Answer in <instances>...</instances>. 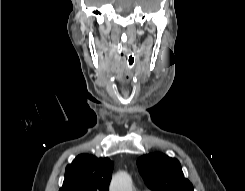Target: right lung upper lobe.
I'll use <instances>...</instances> for the list:
<instances>
[{"label": "right lung upper lobe", "mask_w": 245, "mask_h": 191, "mask_svg": "<svg viewBox=\"0 0 245 191\" xmlns=\"http://www.w3.org/2000/svg\"><path fill=\"white\" fill-rule=\"evenodd\" d=\"M113 162L89 154L78 155L65 171L59 191H108Z\"/></svg>", "instance_id": "cb5924a9"}]
</instances>
